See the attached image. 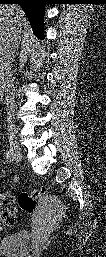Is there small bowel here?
Returning <instances> with one entry per match:
<instances>
[{
    "label": "small bowel",
    "instance_id": "small-bowel-1",
    "mask_svg": "<svg viewBox=\"0 0 106 257\" xmlns=\"http://www.w3.org/2000/svg\"><path fill=\"white\" fill-rule=\"evenodd\" d=\"M16 180L17 178L15 177L14 181ZM0 207H1V212H0L1 226L14 224L16 221V210L12 204L10 195H7V194L1 195Z\"/></svg>",
    "mask_w": 106,
    "mask_h": 257
}]
</instances>
